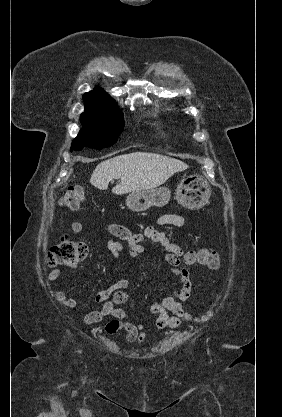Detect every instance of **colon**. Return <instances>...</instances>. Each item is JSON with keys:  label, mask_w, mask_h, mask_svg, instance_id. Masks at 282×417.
Wrapping results in <instances>:
<instances>
[{"label": "colon", "mask_w": 282, "mask_h": 417, "mask_svg": "<svg viewBox=\"0 0 282 417\" xmlns=\"http://www.w3.org/2000/svg\"><path fill=\"white\" fill-rule=\"evenodd\" d=\"M84 195L85 191L82 187H70L60 198V203L68 208H76L84 202ZM87 254L88 249L83 243L62 238L50 248L47 254V263L51 268L75 266ZM219 262L218 252L208 249L190 252L185 258L186 265L199 264L201 267L209 269H216Z\"/></svg>", "instance_id": "colon-1"}]
</instances>
